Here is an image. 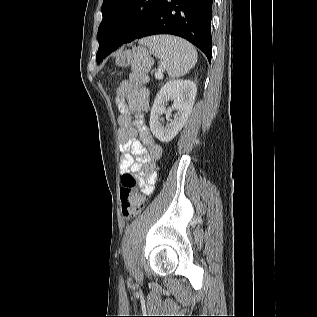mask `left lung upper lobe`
<instances>
[{
	"mask_svg": "<svg viewBox=\"0 0 317 317\" xmlns=\"http://www.w3.org/2000/svg\"><path fill=\"white\" fill-rule=\"evenodd\" d=\"M162 0H104L103 20L98 28L97 63L102 60L103 44L121 46L133 41L157 11ZM127 20L126 22H124Z\"/></svg>",
	"mask_w": 317,
	"mask_h": 317,
	"instance_id": "left-lung-upper-lobe-1",
	"label": "left lung upper lobe"
}]
</instances>
